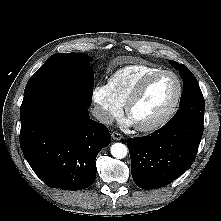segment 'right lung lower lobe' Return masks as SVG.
Returning <instances> with one entry per match:
<instances>
[{"label":"right lung lower lobe","instance_id":"obj_1","mask_svg":"<svg viewBox=\"0 0 221 221\" xmlns=\"http://www.w3.org/2000/svg\"><path fill=\"white\" fill-rule=\"evenodd\" d=\"M88 106L68 97L36 104L21 115L20 146L33 171L51 188L81 190L95 180L98 152L111 141Z\"/></svg>","mask_w":221,"mask_h":221}]
</instances>
